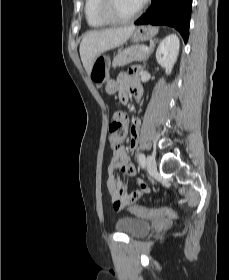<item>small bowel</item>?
<instances>
[{"instance_id":"c3829d8e","label":"small bowel","mask_w":229,"mask_h":280,"mask_svg":"<svg viewBox=\"0 0 229 280\" xmlns=\"http://www.w3.org/2000/svg\"><path fill=\"white\" fill-rule=\"evenodd\" d=\"M105 90L110 95H117L121 102H126L129 98L130 93L134 94L137 100L141 98L140 83L138 80V73L136 68H131L129 72L120 73L117 77L105 86ZM140 121L135 119L131 127V139L130 149L134 150L139 141L140 136ZM120 169L124 174L130 176H136L137 170L128 161L126 148L123 145H119L113 149L111 162L108 166V178H107V189L110 198L115 202L117 199L130 198L125 182L123 179L115 174V171ZM142 189L147 190V185L139 181ZM114 209L118 212L124 211L123 208H118L114 204Z\"/></svg>"}]
</instances>
